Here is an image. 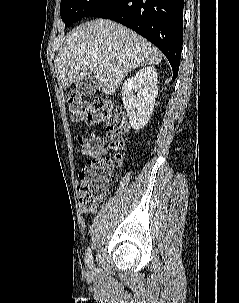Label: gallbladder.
<instances>
[{
	"label": "gallbladder",
	"instance_id": "obj_1",
	"mask_svg": "<svg viewBox=\"0 0 239 303\" xmlns=\"http://www.w3.org/2000/svg\"><path fill=\"white\" fill-rule=\"evenodd\" d=\"M76 88L83 95L92 96L99 89V81L95 75H90L76 82Z\"/></svg>",
	"mask_w": 239,
	"mask_h": 303
}]
</instances>
